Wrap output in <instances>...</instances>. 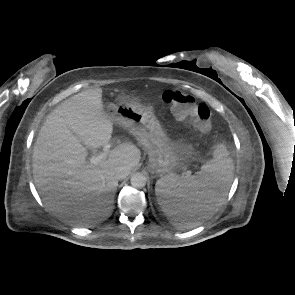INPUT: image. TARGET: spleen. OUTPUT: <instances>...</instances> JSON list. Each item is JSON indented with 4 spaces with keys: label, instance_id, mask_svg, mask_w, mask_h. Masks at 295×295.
Returning a JSON list of instances; mask_svg holds the SVG:
<instances>
[{
    "label": "spleen",
    "instance_id": "spleen-1",
    "mask_svg": "<svg viewBox=\"0 0 295 295\" xmlns=\"http://www.w3.org/2000/svg\"><path fill=\"white\" fill-rule=\"evenodd\" d=\"M234 164L223 144L213 151L194 176L167 175L156 182L155 192L165 214L182 228H192L217 208L227 194Z\"/></svg>",
    "mask_w": 295,
    "mask_h": 295
}]
</instances>
